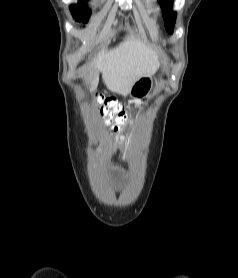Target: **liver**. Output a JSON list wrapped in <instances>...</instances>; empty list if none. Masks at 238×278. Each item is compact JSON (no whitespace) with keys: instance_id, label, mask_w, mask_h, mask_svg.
Listing matches in <instances>:
<instances>
[{"instance_id":"obj_1","label":"liver","mask_w":238,"mask_h":278,"mask_svg":"<svg viewBox=\"0 0 238 278\" xmlns=\"http://www.w3.org/2000/svg\"><path fill=\"white\" fill-rule=\"evenodd\" d=\"M159 66L156 52L131 36L115 48H103L89 66L102 73L106 87L113 93L128 95L133 83L140 77L152 75ZM92 89L98 85V75L88 77Z\"/></svg>"}]
</instances>
